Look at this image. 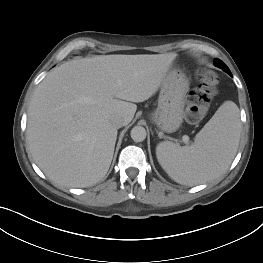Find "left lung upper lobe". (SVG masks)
Here are the masks:
<instances>
[{"label":"left lung upper lobe","mask_w":263,"mask_h":263,"mask_svg":"<svg viewBox=\"0 0 263 263\" xmlns=\"http://www.w3.org/2000/svg\"><path fill=\"white\" fill-rule=\"evenodd\" d=\"M214 64H215V66L221 68V69L224 70L226 73H228L230 76H232L229 68L227 67V65H226L224 62H222V61L219 60V59H215V60H214Z\"/></svg>","instance_id":"left-lung-upper-lobe-1"}]
</instances>
